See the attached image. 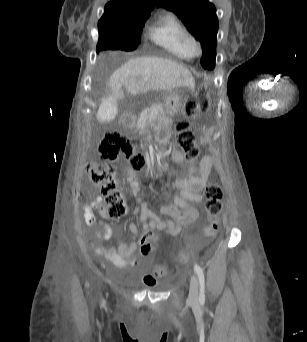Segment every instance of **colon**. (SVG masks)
<instances>
[{
	"mask_svg": "<svg viewBox=\"0 0 307 342\" xmlns=\"http://www.w3.org/2000/svg\"><path fill=\"white\" fill-rule=\"evenodd\" d=\"M203 89L208 87L206 82L201 84ZM207 109L206 102H198L195 99H187L184 103V118L175 125L176 143L184 154L188 163L196 162L200 157V148L196 144V137L191 129V121ZM97 156L105 161L101 164L98 160L87 164L86 170L90 182L100 188L104 197L106 207L105 215L111 219H118L126 213V203L123 196L117 191V183L113 178V162L125 160L134 169H141L145 162L142 155L136 151L135 144L130 138L122 133L113 131L104 135L98 146ZM205 209L208 214V221L204 227V232L209 238H215L219 230V214L222 211L223 190L222 186L211 181L205 187ZM140 241L141 256H149L150 251H155L157 246L151 244L154 240V231L146 230ZM180 264L188 266L190 261L183 250L178 252ZM168 273L166 265L159 266L154 274L143 278L145 285L154 286L159 278Z\"/></svg>",
	"mask_w": 307,
	"mask_h": 342,
	"instance_id": "colon-1",
	"label": "colon"
}]
</instances>
